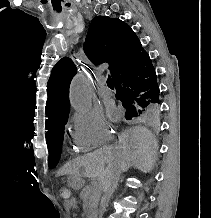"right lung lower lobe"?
I'll return each instance as SVG.
<instances>
[{
    "mask_svg": "<svg viewBox=\"0 0 211 218\" xmlns=\"http://www.w3.org/2000/svg\"><path fill=\"white\" fill-rule=\"evenodd\" d=\"M116 97L159 102V86L149 55L143 51L135 60L120 67L113 77Z\"/></svg>",
    "mask_w": 211,
    "mask_h": 218,
    "instance_id": "obj_1",
    "label": "right lung lower lobe"
}]
</instances>
